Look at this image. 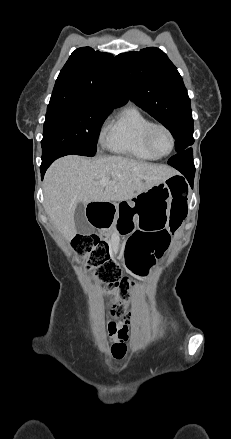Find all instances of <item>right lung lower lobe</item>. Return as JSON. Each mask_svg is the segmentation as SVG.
Here are the masks:
<instances>
[{
  "mask_svg": "<svg viewBox=\"0 0 231 439\" xmlns=\"http://www.w3.org/2000/svg\"><path fill=\"white\" fill-rule=\"evenodd\" d=\"M56 158H51L48 160H42V164L40 166V170H41V178L43 179L44 174L47 170V168L50 166V164L55 160Z\"/></svg>",
  "mask_w": 231,
  "mask_h": 439,
  "instance_id": "right-lung-lower-lobe-1",
  "label": "right lung lower lobe"
}]
</instances>
